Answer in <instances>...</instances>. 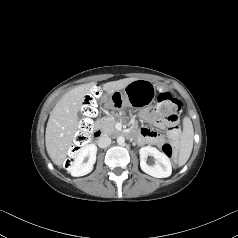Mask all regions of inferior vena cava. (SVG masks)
<instances>
[{"label": "inferior vena cava", "instance_id": "1", "mask_svg": "<svg viewBox=\"0 0 238 238\" xmlns=\"http://www.w3.org/2000/svg\"><path fill=\"white\" fill-rule=\"evenodd\" d=\"M97 144L100 148H106L111 144V138L108 135H102Z\"/></svg>", "mask_w": 238, "mask_h": 238}]
</instances>
